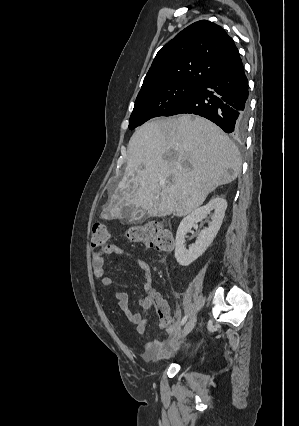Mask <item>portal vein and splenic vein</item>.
Here are the masks:
<instances>
[{
    "mask_svg": "<svg viewBox=\"0 0 299 426\" xmlns=\"http://www.w3.org/2000/svg\"><path fill=\"white\" fill-rule=\"evenodd\" d=\"M160 183H161V184H164V182H163V181H161Z\"/></svg>",
    "mask_w": 299,
    "mask_h": 426,
    "instance_id": "1",
    "label": "portal vein and splenic vein"
}]
</instances>
